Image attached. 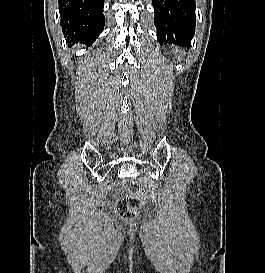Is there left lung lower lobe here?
Here are the masks:
<instances>
[{"instance_id": "obj_1", "label": "left lung lower lobe", "mask_w": 265, "mask_h": 273, "mask_svg": "<svg viewBox=\"0 0 265 273\" xmlns=\"http://www.w3.org/2000/svg\"><path fill=\"white\" fill-rule=\"evenodd\" d=\"M152 5L160 45L189 48L196 24L194 0H153Z\"/></svg>"}]
</instances>
